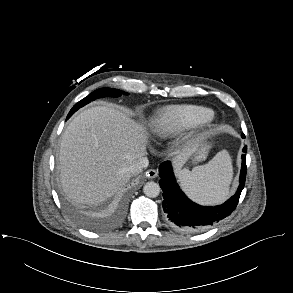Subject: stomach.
I'll list each match as a JSON object with an SVG mask.
<instances>
[{"instance_id":"0dacf381","label":"stomach","mask_w":293,"mask_h":293,"mask_svg":"<svg viewBox=\"0 0 293 293\" xmlns=\"http://www.w3.org/2000/svg\"><path fill=\"white\" fill-rule=\"evenodd\" d=\"M208 146L205 143L200 144L195 152L190 156V159L193 162H199L206 158ZM180 172H188V168L184 167L180 170Z\"/></svg>"}]
</instances>
